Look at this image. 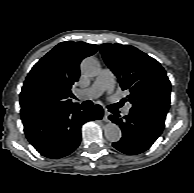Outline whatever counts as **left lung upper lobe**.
Returning a JSON list of instances; mask_svg holds the SVG:
<instances>
[{"label": "left lung upper lobe", "instance_id": "left-lung-upper-lobe-1", "mask_svg": "<svg viewBox=\"0 0 194 193\" xmlns=\"http://www.w3.org/2000/svg\"><path fill=\"white\" fill-rule=\"evenodd\" d=\"M102 56L129 95L131 111L166 117L170 107L171 83L154 58L130 45H101Z\"/></svg>", "mask_w": 194, "mask_h": 193}]
</instances>
